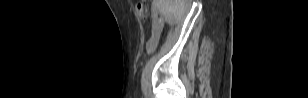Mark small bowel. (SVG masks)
<instances>
[{"label":"small bowel","mask_w":308,"mask_h":98,"mask_svg":"<svg viewBox=\"0 0 308 98\" xmlns=\"http://www.w3.org/2000/svg\"><path fill=\"white\" fill-rule=\"evenodd\" d=\"M162 29L160 27H153L152 36L150 37L148 43H147V49L152 52L155 50L160 34Z\"/></svg>","instance_id":"obj_1"}]
</instances>
